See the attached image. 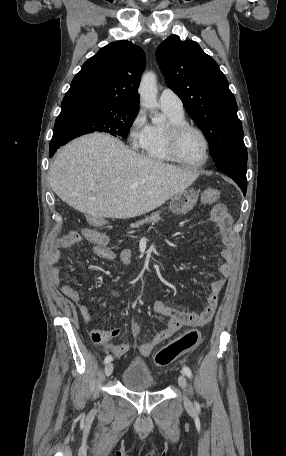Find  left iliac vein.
I'll return each mask as SVG.
<instances>
[{
	"mask_svg": "<svg viewBox=\"0 0 286 456\" xmlns=\"http://www.w3.org/2000/svg\"><path fill=\"white\" fill-rule=\"evenodd\" d=\"M178 383H179V386L182 388V390L185 392L186 391V386H187V380H186V377L184 375H179L178 377ZM184 404L187 408H192V403L191 401L188 399V397L185 395L184 397Z\"/></svg>",
	"mask_w": 286,
	"mask_h": 456,
	"instance_id": "obj_1",
	"label": "left iliac vein"
}]
</instances>
